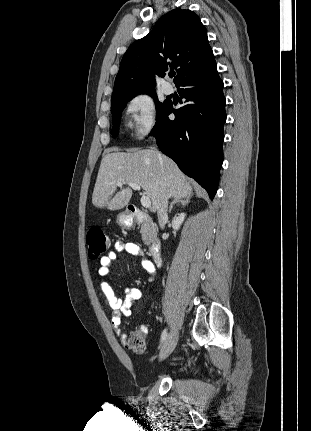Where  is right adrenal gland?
<instances>
[{"instance_id":"1","label":"right adrenal gland","mask_w":311,"mask_h":431,"mask_svg":"<svg viewBox=\"0 0 311 431\" xmlns=\"http://www.w3.org/2000/svg\"><path fill=\"white\" fill-rule=\"evenodd\" d=\"M190 202V198H180V196L179 198H174L170 204L169 214H171L173 206H189Z\"/></svg>"}]
</instances>
